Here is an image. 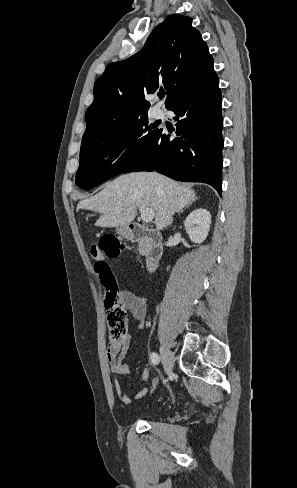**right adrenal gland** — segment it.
Wrapping results in <instances>:
<instances>
[{
  "instance_id": "1",
  "label": "right adrenal gland",
  "mask_w": 297,
  "mask_h": 488,
  "mask_svg": "<svg viewBox=\"0 0 297 488\" xmlns=\"http://www.w3.org/2000/svg\"><path fill=\"white\" fill-rule=\"evenodd\" d=\"M196 199H197V198H196ZM192 202H193V201H192ZM192 202H191V203H189V204H187V205H186V206H185V207H184L182 210H180V212H179V214H178V215L180 216V214H181V213H182V212H183V211H184L186 208H189V206H191V205H192Z\"/></svg>"
}]
</instances>
